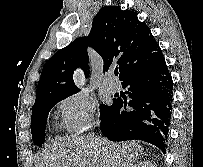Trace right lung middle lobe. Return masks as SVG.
Masks as SVG:
<instances>
[{
    "label": "right lung middle lobe",
    "mask_w": 203,
    "mask_h": 167,
    "mask_svg": "<svg viewBox=\"0 0 203 167\" xmlns=\"http://www.w3.org/2000/svg\"><path fill=\"white\" fill-rule=\"evenodd\" d=\"M66 97L68 96L51 98L33 108L31 116V132L33 141L37 146H41L45 141V128L48 113L58 102ZM110 108L111 106H106L104 104L100 106V120L106 115Z\"/></svg>",
    "instance_id": "1"
}]
</instances>
